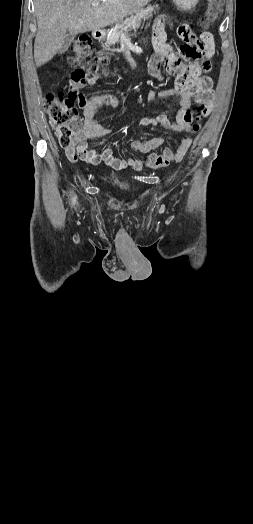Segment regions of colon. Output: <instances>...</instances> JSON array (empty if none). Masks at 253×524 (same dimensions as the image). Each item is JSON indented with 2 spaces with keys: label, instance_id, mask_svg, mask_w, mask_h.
Instances as JSON below:
<instances>
[{
  "label": "colon",
  "instance_id": "colon-1",
  "mask_svg": "<svg viewBox=\"0 0 253 524\" xmlns=\"http://www.w3.org/2000/svg\"><path fill=\"white\" fill-rule=\"evenodd\" d=\"M221 10L222 0H206L203 26L213 25L218 20ZM67 60L73 68L69 89L57 94L49 93L45 99V108L51 127L63 148H69L76 143V134L84 126L80 117V110L85 108L87 101L80 90L87 83L95 82L101 74L107 72L111 56L109 53H96L94 56L90 36L82 34L72 41ZM192 116L191 132H197L207 116L205 105L200 103L194 109ZM187 140L188 137H184L181 146ZM181 146L179 148H166L160 154H152L147 160V165L150 168H163L172 162L181 160L183 156Z\"/></svg>",
  "mask_w": 253,
  "mask_h": 524
}]
</instances>
